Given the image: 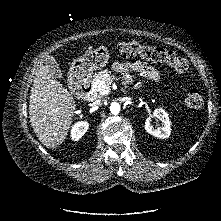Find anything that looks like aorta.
I'll list each match as a JSON object with an SVG mask.
<instances>
[{"label": "aorta", "instance_id": "obj_1", "mask_svg": "<svg viewBox=\"0 0 221 221\" xmlns=\"http://www.w3.org/2000/svg\"><path fill=\"white\" fill-rule=\"evenodd\" d=\"M120 111V105L119 103L117 102H113L111 103L110 105V112L113 114V115H117Z\"/></svg>", "mask_w": 221, "mask_h": 221}]
</instances>
